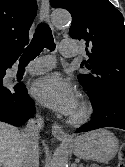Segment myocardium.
Here are the masks:
<instances>
[{
  "mask_svg": "<svg viewBox=\"0 0 125 167\" xmlns=\"http://www.w3.org/2000/svg\"><path fill=\"white\" fill-rule=\"evenodd\" d=\"M91 112L90 105L87 101L82 100L77 106V111L70 115L69 122L74 125H81L89 119Z\"/></svg>",
  "mask_w": 125,
  "mask_h": 167,
  "instance_id": "f54148a6",
  "label": "myocardium"
}]
</instances>
